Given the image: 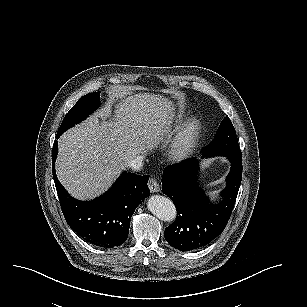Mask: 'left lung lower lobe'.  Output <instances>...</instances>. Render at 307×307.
Returning a JSON list of instances; mask_svg holds the SVG:
<instances>
[{
  "label": "left lung lower lobe",
  "instance_id": "obj_1",
  "mask_svg": "<svg viewBox=\"0 0 307 307\" xmlns=\"http://www.w3.org/2000/svg\"><path fill=\"white\" fill-rule=\"evenodd\" d=\"M232 166L224 198L213 205L196 182L198 161L189 159L163 171L162 191L177 209V218L164 231L166 241L180 251H193L209 245L222 233L232 213L242 180V156H226Z\"/></svg>",
  "mask_w": 307,
  "mask_h": 307
}]
</instances>
